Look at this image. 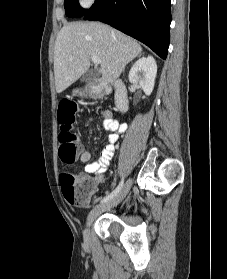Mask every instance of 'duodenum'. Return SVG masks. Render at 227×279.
<instances>
[{
	"instance_id": "1",
	"label": "duodenum",
	"mask_w": 227,
	"mask_h": 279,
	"mask_svg": "<svg viewBox=\"0 0 227 279\" xmlns=\"http://www.w3.org/2000/svg\"><path fill=\"white\" fill-rule=\"evenodd\" d=\"M111 91L114 93L115 103L121 112L128 109V91L123 82H114L107 85L102 80H97L87 96L91 99L107 96Z\"/></svg>"
}]
</instances>
